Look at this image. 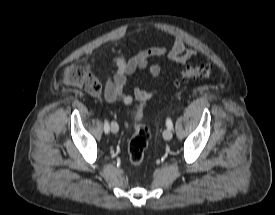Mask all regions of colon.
Returning <instances> with one entry per match:
<instances>
[{
  "mask_svg": "<svg viewBox=\"0 0 275 215\" xmlns=\"http://www.w3.org/2000/svg\"><path fill=\"white\" fill-rule=\"evenodd\" d=\"M212 74L213 67L210 64L201 63L184 69L175 83L180 84L189 79H206ZM66 83L78 87L92 96H97L101 92L100 82L87 66L75 65L69 67L66 72ZM144 107L145 103L142 102L136 110L135 132L128 147L129 162L134 166H138L142 163L150 139L148 128L140 122L143 117Z\"/></svg>",
  "mask_w": 275,
  "mask_h": 215,
  "instance_id": "5ec220e1",
  "label": "colon"
}]
</instances>
